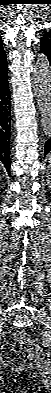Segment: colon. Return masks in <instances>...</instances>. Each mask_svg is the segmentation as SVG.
<instances>
[{"mask_svg": "<svg viewBox=\"0 0 51 393\" xmlns=\"http://www.w3.org/2000/svg\"><path fill=\"white\" fill-rule=\"evenodd\" d=\"M12 348L15 354L22 360L35 359L41 353L40 347L35 345L30 337L23 331L16 334L12 342Z\"/></svg>", "mask_w": 51, "mask_h": 393, "instance_id": "1", "label": "colon"}]
</instances>
